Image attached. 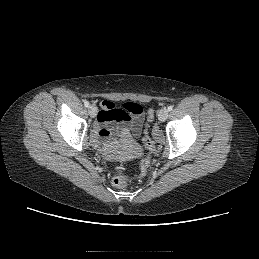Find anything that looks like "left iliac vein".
Listing matches in <instances>:
<instances>
[{"instance_id":"1","label":"left iliac vein","mask_w":259,"mask_h":259,"mask_svg":"<svg viewBox=\"0 0 259 259\" xmlns=\"http://www.w3.org/2000/svg\"><path fill=\"white\" fill-rule=\"evenodd\" d=\"M168 117V110L166 108H163L159 111L158 113V119L161 121V122H164Z\"/></svg>"}]
</instances>
